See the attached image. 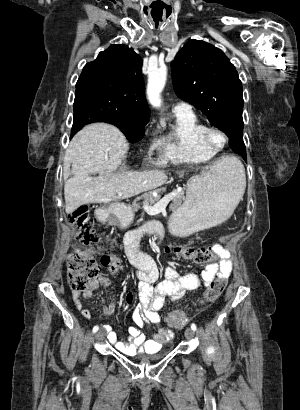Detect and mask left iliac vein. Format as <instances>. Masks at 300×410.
Masks as SVG:
<instances>
[{"instance_id":"left-iliac-vein-1","label":"left iliac vein","mask_w":300,"mask_h":410,"mask_svg":"<svg viewBox=\"0 0 300 410\" xmlns=\"http://www.w3.org/2000/svg\"><path fill=\"white\" fill-rule=\"evenodd\" d=\"M185 337L187 339H192L194 337V331L191 328L185 330Z\"/></svg>"}]
</instances>
